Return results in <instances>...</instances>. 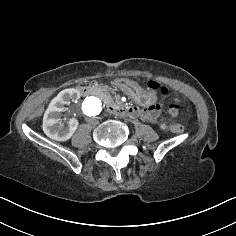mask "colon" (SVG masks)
<instances>
[{"label": "colon", "instance_id": "5ec220e1", "mask_svg": "<svg viewBox=\"0 0 236 236\" xmlns=\"http://www.w3.org/2000/svg\"><path fill=\"white\" fill-rule=\"evenodd\" d=\"M149 86L155 90H158L161 92V94H167L168 90L166 87L161 86L157 82L151 81L149 82ZM168 112L171 117L170 122V129L174 132H181L183 130V126L177 122V119L181 113V106L177 103H170L168 105Z\"/></svg>", "mask_w": 236, "mask_h": 236}]
</instances>
